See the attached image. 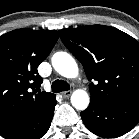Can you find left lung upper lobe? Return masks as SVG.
Segmentation results:
<instances>
[{
  "label": "left lung upper lobe",
  "instance_id": "1",
  "mask_svg": "<svg viewBox=\"0 0 139 139\" xmlns=\"http://www.w3.org/2000/svg\"><path fill=\"white\" fill-rule=\"evenodd\" d=\"M64 45L81 62L91 101L111 105L139 98V43L110 26L92 25L59 31Z\"/></svg>",
  "mask_w": 139,
  "mask_h": 139
}]
</instances>
